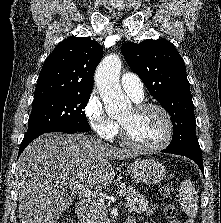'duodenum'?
<instances>
[{"label": "duodenum", "instance_id": "410a0bca", "mask_svg": "<svg viewBox=\"0 0 221 223\" xmlns=\"http://www.w3.org/2000/svg\"><path fill=\"white\" fill-rule=\"evenodd\" d=\"M76 212H77V216L80 219H82L85 216V214L88 212V204L84 201H79L77 203Z\"/></svg>", "mask_w": 221, "mask_h": 223}]
</instances>
